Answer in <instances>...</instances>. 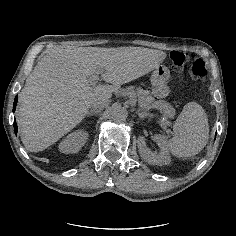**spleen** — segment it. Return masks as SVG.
I'll return each instance as SVG.
<instances>
[{
	"mask_svg": "<svg viewBox=\"0 0 236 236\" xmlns=\"http://www.w3.org/2000/svg\"><path fill=\"white\" fill-rule=\"evenodd\" d=\"M174 137L168 142L169 149L177 157L198 154L207 144L208 119L203 108L196 102L187 103L173 125Z\"/></svg>",
	"mask_w": 236,
	"mask_h": 236,
	"instance_id": "3e777b00",
	"label": "spleen"
}]
</instances>
